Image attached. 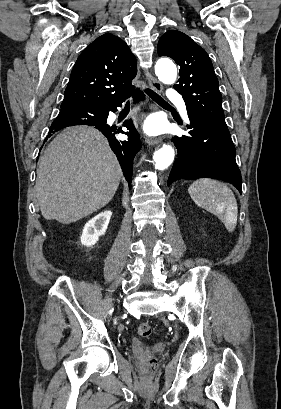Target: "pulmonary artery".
<instances>
[{"label":"pulmonary artery","mask_w":281,"mask_h":409,"mask_svg":"<svg viewBox=\"0 0 281 409\" xmlns=\"http://www.w3.org/2000/svg\"><path fill=\"white\" fill-rule=\"evenodd\" d=\"M168 92L170 94H172L171 97H170L171 102L172 103H180L179 104V110H180L182 116L187 118V116H188L187 108H186V105L184 103H182L183 100H184L183 95L182 94H173L175 92V89L173 87H170L168 89Z\"/></svg>","instance_id":"obj_1"}]
</instances>
